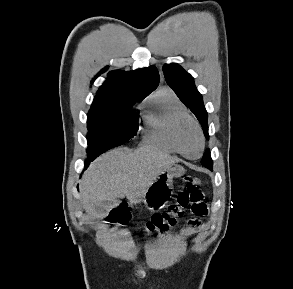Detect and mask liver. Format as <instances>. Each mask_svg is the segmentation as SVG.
I'll return each mask as SVG.
<instances>
[{
  "label": "liver",
  "instance_id": "obj_1",
  "mask_svg": "<svg viewBox=\"0 0 293 289\" xmlns=\"http://www.w3.org/2000/svg\"><path fill=\"white\" fill-rule=\"evenodd\" d=\"M179 160L151 145L134 152L124 148L111 150L90 164L80 182L85 211L96 216V206L127 198L140 201L149 186L168 166Z\"/></svg>",
  "mask_w": 293,
  "mask_h": 289
}]
</instances>
